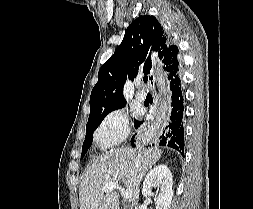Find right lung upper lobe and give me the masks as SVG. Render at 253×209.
Returning <instances> with one entry per match:
<instances>
[{
    "label": "right lung upper lobe",
    "mask_w": 253,
    "mask_h": 209,
    "mask_svg": "<svg viewBox=\"0 0 253 209\" xmlns=\"http://www.w3.org/2000/svg\"><path fill=\"white\" fill-rule=\"evenodd\" d=\"M178 53V47L170 42L154 16H139L127 28L114 54L99 70L98 82L90 96L89 117L125 106L123 86L127 75L129 79H134L137 75L149 74L151 58L158 57L163 62L167 75L179 70Z\"/></svg>",
    "instance_id": "obj_1"
}]
</instances>
